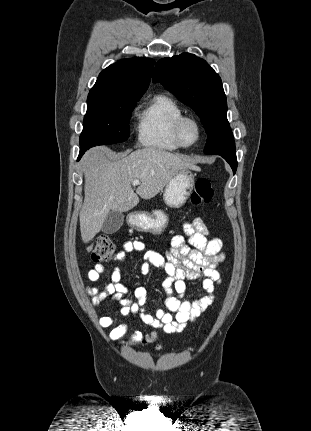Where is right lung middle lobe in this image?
I'll return each instance as SVG.
<instances>
[{
	"label": "right lung middle lobe",
	"instance_id": "dd1d6c3e",
	"mask_svg": "<svg viewBox=\"0 0 311 431\" xmlns=\"http://www.w3.org/2000/svg\"><path fill=\"white\" fill-rule=\"evenodd\" d=\"M141 96L89 94L80 149L95 145L123 142L129 138L130 120L136 102Z\"/></svg>",
	"mask_w": 311,
	"mask_h": 431
}]
</instances>
